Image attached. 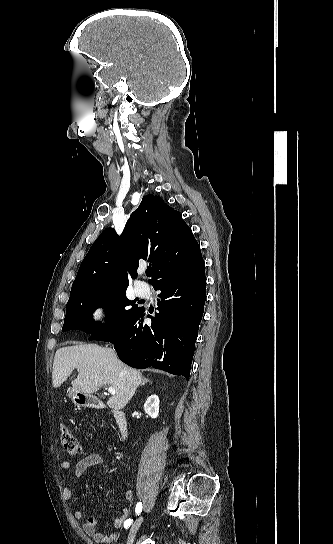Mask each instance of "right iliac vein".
I'll list each match as a JSON object with an SVG mask.
<instances>
[{
    "label": "right iliac vein",
    "instance_id": "63e3f726",
    "mask_svg": "<svg viewBox=\"0 0 333 544\" xmlns=\"http://www.w3.org/2000/svg\"><path fill=\"white\" fill-rule=\"evenodd\" d=\"M142 521H143V517H140L131 526L129 534H128L127 544H133L136 533L139 527L141 526Z\"/></svg>",
    "mask_w": 333,
    "mask_h": 544
}]
</instances>
